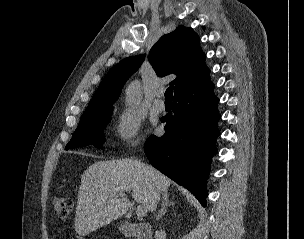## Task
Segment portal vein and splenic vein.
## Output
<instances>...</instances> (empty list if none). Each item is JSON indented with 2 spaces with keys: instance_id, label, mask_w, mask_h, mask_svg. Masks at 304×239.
<instances>
[{
  "instance_id": "18ae733b",
  "label": "portal vein and splenic vein",
  "mask_w": 304,
  "mask_h": 239,
  "mask_svg": "<svg viewBox=\"0 0 304 239\" xmlns=\"http://www.w3.org/2000/svg\"><path fill=\"white\" fill-rule=\"evenodd\" d=\"M120 196H124V194H120ZM147 208L144 205L137 206L136 214L138 218H142L146 215Z\"/></svg>"
}]
</instances>
